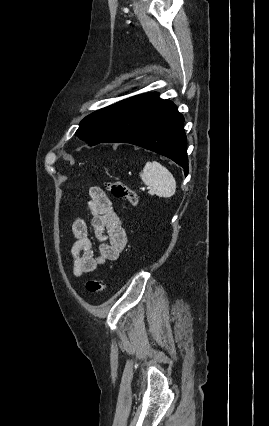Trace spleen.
<instances>
[{"mask_svg": "<svg viewBox=\"0 0 269 426\" xmlns=\"http://www.w3.org/2000/svg\"><path fill=\"white\" fill-rule=\"evenodd\" d=\"M140 178L148 186L150 195L169 198L175 194V178L166 167L157 161L146 162Z\"/></svg>", "mask_w": 269, "mask_h": 426, "instance_id": "obj_1", "label": "spleen"}]
</instances>
